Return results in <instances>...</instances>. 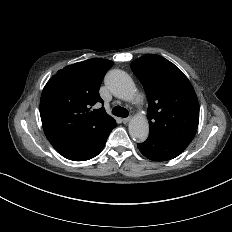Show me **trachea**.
Segmentation results:
<instances>
[{
  "instance_id": "1",
  "label": "trachea",
  "mask_w": 232,
  "mask_h": 232,
  "mask_svg": "<svg viewBox=\"0 0 232 232\" xmlns=\"http://www.w3.org/2000/svg\"><path fill=\"white\" fill-rule=\"evenodd\" d=\"M112 113L118 117H124V118H126L129 115L128 110L121 106H115L112 110Z\"/></svg>"
}]
</instances>
